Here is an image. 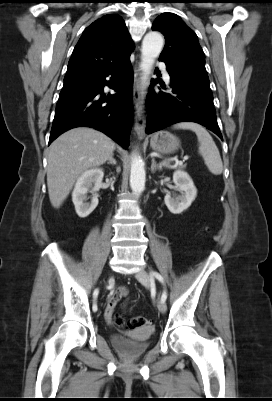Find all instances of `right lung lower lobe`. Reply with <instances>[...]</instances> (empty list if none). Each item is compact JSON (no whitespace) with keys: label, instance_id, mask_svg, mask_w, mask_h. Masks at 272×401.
<instances>
[{"label":"right lung lower lobe","instance_id":"1","mask_svg":"<svg viewBox=\"0 0 272 401\" xmlns=\"http://www.w3.org/2000/svg\"><path fill=\"white\" fill-rule=\"evenodd\" d=\"M108 76L110 81L106 79ZM133 77L127 57L98 77L63 88L56 105L49 144L69 129L92 127L126 149L133 119ZM105 85L116 93L106 95Z\"/></svg>","mask_w":272,"mask_h":401}]
</instances>
